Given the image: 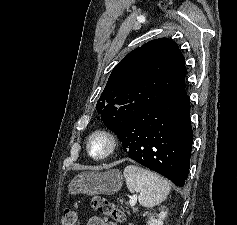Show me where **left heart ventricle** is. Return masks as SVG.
I'll use <instances>...</instances> for the list:
<instances>
[{
  "label": "left heart ventricle",
  "mask_w": 237,
  "mask_h": 225,
  "mask_svg": "<svg viewBox=\"0 0 237 225\" xmlns=\"http://www.w3.org/2000/svg\"><path fill=\"white\" fill-rule=\"evenodd\" d=\"M105 149V143L103 141H96L93 145V152L95 154H100Z\"/></svg>",
  "instance_id": "1"
}]
</instances>
